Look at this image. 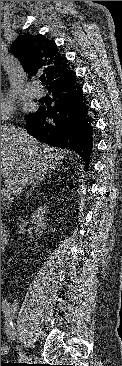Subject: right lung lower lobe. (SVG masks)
Segmentation results:
<instances>
[{
  "label": "right lung lower lobe",
  "mask_w": 122,
  "mask_h": 366,
  "mask_svg": "<svg viewBox=\"0 0 122 366\" xmlns=\"http://www.w3.org/2000/svg\"><path fill=\"white\" fill-rule=\"evenodd\" d=\"M52 95L47 108L26 119V129L36 139L51 146L75 151L87 169L93 148V126L87 100L75 73L70 80L48 87Z\"/></svg>",
  "instance_id": "obj_1"
}]
</instances>
